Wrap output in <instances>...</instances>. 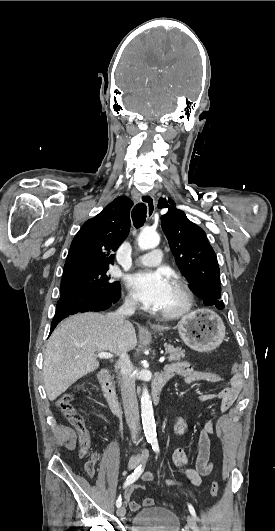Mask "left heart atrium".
<instances>
[{
    "mask_svg": "<svg viewBox=\"0 0 275 531\" xmlns=\"http://www.w3.org/2000/svg\"><path fill=\"white\" fill-rule=\"evenodd\" d=\"M127 282L139 301L146 306L158 308L165 298L171 279L163 269L142 270L130 275Z\"/></svg>",
    "mask_w": 275,
    "mask_h": 531,
    "instance_id": "39dd6f15",
    "label": "left heart atrium"
}]
</instances>
